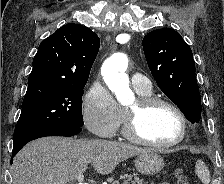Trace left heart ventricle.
I'll list each match as a JSON object with an SVG mask.
<instances>
[{"mask_svg": "<svg viewBox=\"0 0 224 184\" xmlns=\"http://www.w3.org/2000/svg\"><path fill=\"white\" fill-rule=\"evenodd\" d=\"M139 130L148 140L165 144L179 136L181 124L173 110L167 106L158 105L142 118Z\"/></svg>", "mask_w": 224, "mask_h": 184, "instance_id": "left-heart-ventricle-1", "label": "left heart ventricle"}]
</instances>
